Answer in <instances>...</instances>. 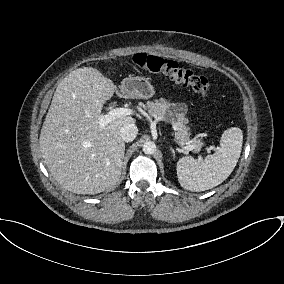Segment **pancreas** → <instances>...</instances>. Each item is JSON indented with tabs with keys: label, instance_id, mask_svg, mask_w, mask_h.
<instances>
[{
	"label": "pancreas",
	"instance_id": "1",
	"mask_svg": "<svg viewBox=\"0 0 284 284\" xmlns=\"http://www.w3.org/2000/svg\"><path fill=\"white\" fill-rule=\"evenodd\" d=\"M181 106L182 112H178V108ZM149 115L158 117L163 121L174 124L176 127V139L182 143H189L190 129L186 124L188 119L185 117L187 107L184 104L169 103L165 99L148 101L144 107ZM193 145L199 147L202 146L200 140H194L191 142Z\"/></svg>",
	"mask_w": 284,
	"mask_h": 284
}]
</instances>
